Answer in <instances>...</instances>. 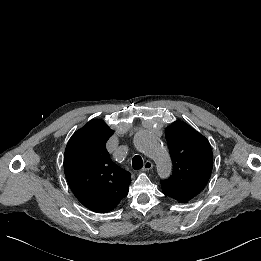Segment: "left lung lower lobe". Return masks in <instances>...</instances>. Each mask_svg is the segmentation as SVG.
Masks as SVG:
<instances>
[{
	"label": "left lung lower lobe",
	"instance_id": "0a47b994",
	"mask_svg": "<svg viewBox=\"0 0 261 261\" xmlns=\"http://www.w3.org/2000/svg\"><path fill=\"white\" fill-rule=\"evenodd\" d=\"M163 193L165 195L169 196V197L176 199L179 202H182V203H185V202L190 200V198H187V197L182 196V195L175 194L173 192H170V191H167V190H164V189H163Z\"/></svg>",
	"mask_w": 261,
	"mask_h": 261
}]
</instances>
